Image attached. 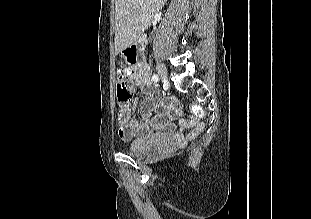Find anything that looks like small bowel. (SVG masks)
Here are the masks:
<instances>
[{"mask_svg":"<svg viewBox=\"0 0 311 219\" xmlns=\"http://www.w3.org/2000/svg\"><path fill=\"white\" fill-rule=\"evenodd\" d=\"M130 78L145 94V99L136 102V107L142 120L134 119L129 107H121L118 115L119 135L123 140L144 138L153 132L166 138L168 142L178 140L174 121L178 120L181 127L188 129V136L198 132L203 124L196 116L185 118L182 116L181 106L173 96L161 97L149 78V68L144 60L128 68Z\"/></svg>","mask_w":311,"mask_h":219,"instance_id":"1","label":"small bowel"}]
</instances>
